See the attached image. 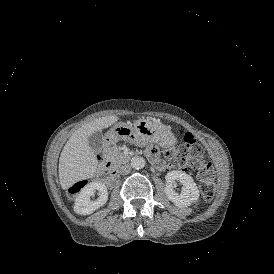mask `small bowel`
I'll list each match as a JSON object with an SVG mask.
<instances>
[{"mask_svg":"<svg viewBox=\"0 0 274 274\" xmlns=\"http://www.w3.org/2000/svg\"><path fill=\"white\" fill-rule=\"evenodd\" d=\"M149 160L154 164L158 158V150L155 147H151L147 151ZM160 160V159H159Z\"/></svg>","mask_w":274,"mask_h":274,"instance_id":"obj_1","label":"small bowel"}]
</instances>
